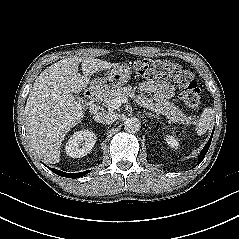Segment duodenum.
Returning a JSON list of instances; mask_svg holds the SVG:
<instances>
[{"label": "duodenum", "instance_id": "1", "mask_svg": "<svg viewBox=\"0 0 239 239\" xmlns=\"http://www.w3.org/2000/svg\"><path fill=\"white\" fill-rule=\"evenodd\" d=\"M85 96L89 100L91 112L96 113L97 112V107H96L97 93H96V91L94 89H89L86 91Z\"/></svg>", "mask_w": 239, "mask_h": 239}]
</instances>
